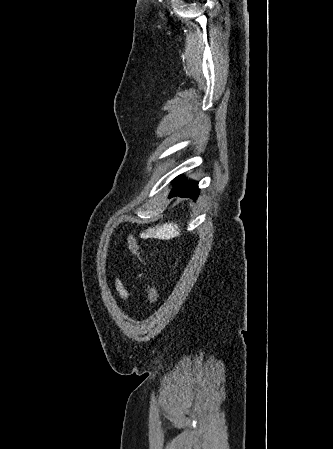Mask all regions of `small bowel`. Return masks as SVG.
Segmentation results:
<instances>
[{
	"instance_id": "obj_1",
	"label": "small bowel",
	"mask_w": 333,
	"mask_h": 449,
	"mask_svg": "<svg viewBox=\"0 0 333 449\" xmlns=\"http://www.w3.org/2000/svg\"><path fill=\"white\" fill-rule=\"evenodd\" d=\"M117 292L118 294L123 298V299H127L129 296V292L128 290L125 288V286L121 283V282H117V286H116Z\"/></svg>"
}]
</instances>
